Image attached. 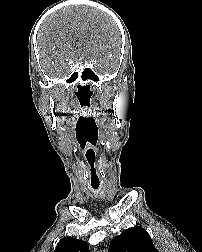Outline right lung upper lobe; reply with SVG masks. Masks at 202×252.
I'll list each match as a JSON object with an SVG mask.
<instances>
[{
	"instance_id": "obj_1",
	"label": "right lung upper lobe",
	"mask_w": 202,
	"mask_h": 252,
	"mask_svg": "<svg viewBox=\"0 0 202 252\" xmlns=\"http://www.w3.org/2000/svg\"><path fill=\"white\" fill-rule=\"evenodd\" d=\"M54 252H89V248L82 240L64 237L58 242Z\"/></svg>"
}]
</instances>
